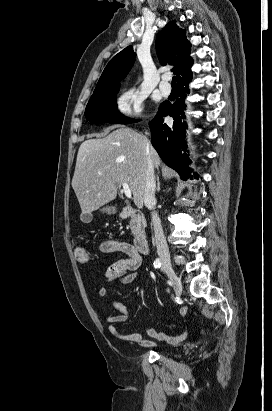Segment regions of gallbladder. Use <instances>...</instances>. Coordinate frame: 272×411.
<instances>
[{"mask_svg": "<svg viewBox=\"0 0 272 411\" xmlns=\"http://www.w3.org/2000/svg\"><path fill=\"white\" fill-rule=\"evenodd\" d=\"M102 213H107V214H115L117 212V209L115 206H105L100 210ZM91 220L90 215L88 214H83L81 216V221L84 223H89Z\"/></svg>", "mask_w": 272, "mask_h": 411, "instance_id": "bac80fb5", "label": "gallbladder"}]
</instances>
